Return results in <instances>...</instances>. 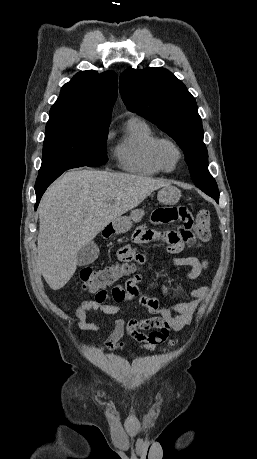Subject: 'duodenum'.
I'll return each instance as SVG.
<instances>
[{
  "label": "duodenum",
  "instance_id": "1",
  "mask_svg": "<svg viewBox=\"0 0 257 459\" xmlns=\"http://www.w3.org/2000/svg\"><path fill=\"white\" fill-rule=\"evenodd\" d=\"M112 233H113V228H112V226H108V227L105 228V230H104V235H105V236L108 237V236H110Z\"/></svg>",
  "mask_w": 257,
  "mask_h": 459
}]
</instances>
